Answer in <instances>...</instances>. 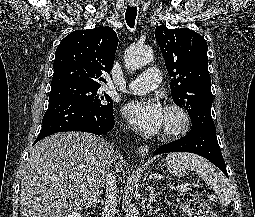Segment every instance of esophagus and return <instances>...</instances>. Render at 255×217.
I'll return each instance as SVG.
<instances>
[{
  "label": "esophagus",
  "mask_w": 255,
  "mask_h": 217,
  "mask_svg": "<svg viewBox=\"0 0 255 217\" xmlns=\"http://www.w3.org/2000/svg\"><path fill=\"white\" fill-rule=\"evenodd\" d=\"M131 6H136L137 3L131 1L130 2ZM148 152H149V147L147 145H142L138 148V154L142 157H145L148 155Z\"/></svg>",
  "instance_id": "esophagus-1"
}]
</instances>
